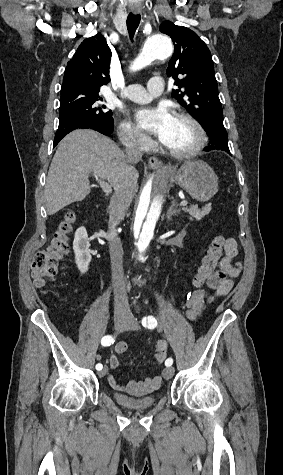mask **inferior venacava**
<instances>
[{
	"label": "inferior vena cava",
	"mask_w": 283,
	"mask_h": 475,
	"mask_svg": "<svg viewBox=\"0 0 283 475\" xmlns=\"http://www.w3.org/2000/svg\"><path fill=\"white\" fill-rule=\"evenodd\" d=\"M131 144L125 150L126 160L131 166L126 168V174H134V164H137L142 158L140 150L138 134H130ZM115 192L110 200V216H109V239L111 269L113 277V293H114V309L115 311H123L129 313L130 307L126 293V281L123 271V247L119 238H117L116 226L123 220L131 202L134 198L133 192L129 184H121L114 188Z\"/></svg>",
	"instance_id": "inferior-vena-cava-1"
}]
</instances>
